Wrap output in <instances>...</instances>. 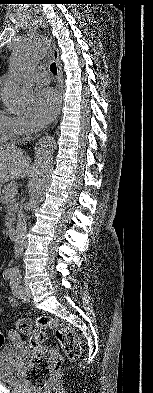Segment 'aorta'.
<instances>
[{"instance_id": "762f6f07", "label": "aorta", "mask_w": 153, "mask_h": 393, "mask_svg": "<svg viewBox=\"0 0 153 393\" xmlns=\"http://www.w3.org/2000/svg\"><path fill=\"white\" fill-rule=\"evenodd\" d=\"M48 49L49 38L43 34L25 35L13 49L11 76L0 89L2 102L9 112L26 113L32 110L35 92L29 73L47 55ZM54 145L52 138L44 137L35 148V169L28 202L31 209L42 202L51 184Z\"/></svg>"}]
</instances>
